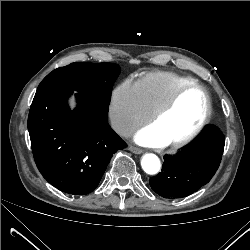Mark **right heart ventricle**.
I'll list each match as a JSON object with an SVG mask.
<instances>
[{
  "mask_svg": "<svg viewBox=\"0 0 250 250\" xmlns=\"http://www.w3.org/2000/svg\"><path fill=\"white\" fill-rule=\"evenodd\" d=\"M194 80L174 72L157 71L140 77L136 85L151 116L170 98L176 89Z\"/></svg>",
  "mask_w": 250,
  "mask_h": 250,
  "instance_id": "right-heart-ventricle-1",
  "label": "right heart ventricle"
}]
</instances>
